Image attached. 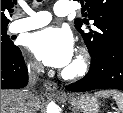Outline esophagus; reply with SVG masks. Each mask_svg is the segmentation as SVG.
<instances>
[{
  "mask_svg": "<svg viewBox=\"0 0 123 113\" xmlns=\"http://www.w3.org/2000/svg\"><path fill=\"white\" fill-rule=\"evenodd\" d=\"M44 87L47 91L50 92H56L57 91V84L51 81H45ZM58 95H62L61 93H58Z\"/></svg>",
  "mask_w": 123,
  "mask_h": 113,
  "instance_id": "obj_1",
  "label": "esophagus"
}]
</instances>
